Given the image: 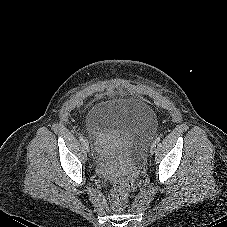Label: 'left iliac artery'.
I'll list each match as a JSON object with an SVG mask.
<instances>
[{
  "instance_id": "left-iliac-artery-1",
  "label": "left iliac artery",
  "mask_w": 227,
  "mask_h": 227,
  "mask_svg": "<svg viewBox=\"0 0 227 227\" xmlns=\"http://www.w3.org/2000/svg\"><path fill=\"white\" fill-rule=\"evenodd\" d=\"M160 140H161L160 137H157V138L155 139L156 142H159Z\"/></svg>"
}]
</instances>
